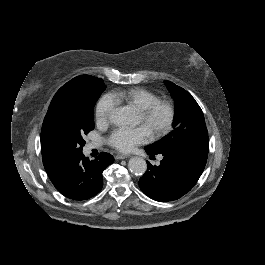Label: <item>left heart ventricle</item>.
Returning <instances> with one entry per match:
<instances>
[{"label": "left heart ventricle", "instance_id": "obj_1", "mask_svg": "<svg viewBox=\"0 0 265 265\" xmlns=\"http://www.w3.org/2000/svg\"><path fill=\"white\" fill-rule=\"evenodd\" d=\"M139 119H140V123L143 122V119L140 116V114H139ZM163 121H164V112L162 110H159L157 112V114L155 115V117L150 122V124L147 125L146 127L151 132L152 130H154L155 128H157L158 126H160Z\"/></svg>", "mask_w": 265, "mask_h": 265}]
</instances>
